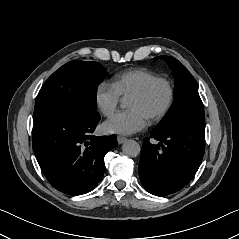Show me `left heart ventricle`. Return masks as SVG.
<instances>
[{"label": "left heart ventricle", "mask_w": 239, "mask_h": 239, "mask_svg": "<svg viewBox=\"0 0 239 239\" xmlns=\"http://www.w3.org/2000/svg\"><path fill=\"white\" fill-rule=\"evenodd\" d=\"M166 97V89L162 84H156L150 92L141 99L130 100L126 102L127 107L134 108L144 117L158 109L164 102Z\"/></svg>", "instance_id": "1"}]
</instances>
